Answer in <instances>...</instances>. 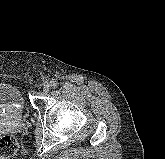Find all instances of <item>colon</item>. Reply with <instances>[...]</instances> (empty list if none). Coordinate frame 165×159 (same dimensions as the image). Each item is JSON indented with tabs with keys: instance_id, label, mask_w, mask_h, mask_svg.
Masks as SVG:
<instances>
[{
	"instance_id": "colon-1",
	"label": "colon",
	"mask_w": 165,
	"mask_h": 159,
	"mask_svg": "<svg viewBox=\"0 0 165 159\" xmlns=\"http://www.w3.org/2000/svg\"><path fill=\"white\" fill-rule=\"evenodd\" d=\"M19 144L15 137L11 135L0 136V159H8L16 154Z\"/></svg>"
}]
</instances>
